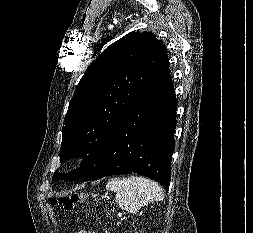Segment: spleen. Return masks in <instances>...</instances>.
<instances>
[{
	"mask_svg": "<svg viewBox=\"0 0 253 233\" xmlns=\"http://www.w3.org/2000/svg\"><path fill=\"white\" fill-rule=\"evenodd\" d=\"M106 189L116 193L115 201L120 208L132 214L151 202L164 199L163 189L156 182L140 176L114 178Z\"/></svg>",
	"mask_w": 253,
	"mask_h": 233,
	"instance_id": "1",
	"label": "spleen"
}]
</instances>
